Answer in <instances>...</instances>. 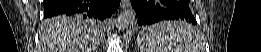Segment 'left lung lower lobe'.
Here are the masks:
<instances>
[{
	"instance_id": "1",
	"label": "left lung lower lobe",
	"mask_w": 261,
	"mask_h": 52,
	"mask_svg": "<svg viewBox=\"0 0 261 52\" xmlns=\"http://www.w3.org/2000/svg\"><path fill=\"white\" fill-rule=\"evenodd\" d=\"M131 3L138 18V26L174 19L197 24L189 8L188 0H134ZM179 36H181L180 33Z\"/></svg>"
}]
</instances>
